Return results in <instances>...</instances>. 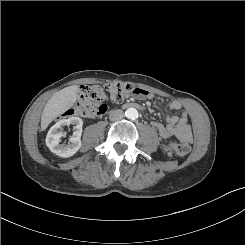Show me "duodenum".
<instances>
[{
  "label": "duodenum",
  "instance_id": "410a0bca",
  "mask_svg": "<svg viewBox=\"0 0 245 245\" xmlns=\"http://www.w3.org/2000/svg\"><path fill=\"white\" fill-rule=\"evenodd\" d=\"M125 106L126 107H132V108H140V106L136 103H127Z\"/></svg>",
  "mask_w": 245,
  "mask_h": 245
}]
</instances>
